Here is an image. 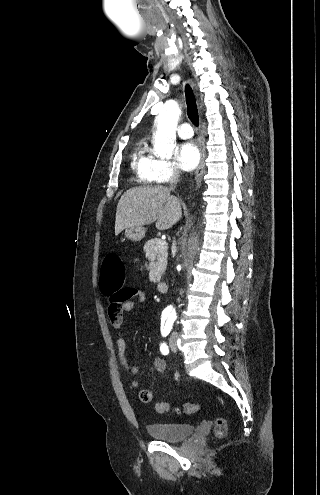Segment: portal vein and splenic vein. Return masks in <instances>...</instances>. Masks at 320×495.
<instances>
[{
  "label": "portal vein and splenic vein",
  "mask_w": 320,
  "mask_h": 495,
  "mask_svg": "<svg viewBox=\"0 0 320 495\" xmlns=\"http://www.w3.org/2000/svg\"><path fill=\"white\" fill-rule=\"evenodd\" d=\"M166 244H167V243H166V241H160V242H159V246H164V245H166Z\"/></svg>",
  "instance_id": "1"
}]
</instances>
